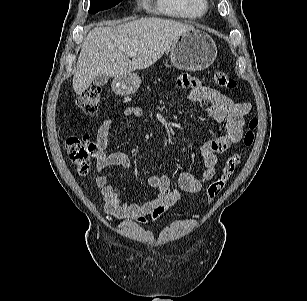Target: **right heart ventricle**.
Here are the masks:
<instances>
[{"label": "right heart ventricle", "instance_id": "e07e8e85", "mask_svg": "<svg viewBox=\"0 0 307 301\" xmlns=\"http://www.w3.org/2000/svg\"><path fill=\"white\" fill-rule=\"evenodd\" d=\"M153 8L165 15L194 19L202 16L208 9V0H148Z\"/></svg>", "mask_w": 307, "mask_h": 301}]
</instances>
